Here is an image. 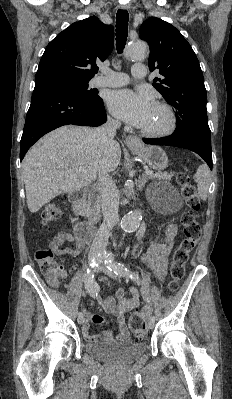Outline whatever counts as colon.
I'll return each mask as SVG.
<instances>
[{
	"instance_id": "colon-1",
	"label": "colon",
	"mask_w": 232,
	"mask_h": 399,
	"mask_svg": "<svg viewBox=\"0 0 232 399\" xmlns=\"http://www.w3.org/2000/svg\"><path fill=\"white\" fill-rule=\"evenodd\" d=\"M175 180L180 187L184 188L183 195L189 203L188 213H183L178 230L185 236L183 244L180 245L178 251H173L172 263L176 267L170 269V274L166 276L165 283L169 287H179L183 283V277L186 270L183 268L186 262H192L191 254L195 250L197 240L201 235V221H197V214L202 209V200L199 193L191 186L192 179L184 171H179L175 175ZM61 215L59 209L48 203L38 216V221L42 225H47L54 218L57 219ZM36 257L40 261L39 268L47 277V283H52V290H65V277L61 273H57V268L52 266L50 257H54V252L41 250L36 252ZM56 273V274H54ZM54 274V275H53ZM53 275V276H52ZM145 313H132L131 330L134 335H147Z\"/></svg>"
}]
</instances>
